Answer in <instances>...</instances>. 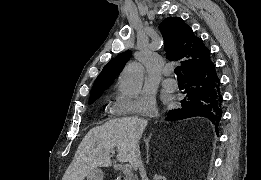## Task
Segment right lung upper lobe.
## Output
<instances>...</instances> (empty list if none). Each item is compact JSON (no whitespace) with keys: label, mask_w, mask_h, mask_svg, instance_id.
Instances as JSON below:
<instances>
[{"label":"right lung upper lobe","mask_w":261,"mask_h":180,"mask_svg":"<svg viewBox=\"0 0 261 180\" xmlns=\"http://www.w3.org/2000/svg\"><path fill=\"white\" fill-rule=\"evenodd\" d=\"M159 29L164 37L167 58L179 60L183 73L210 61V50L204 46L201 38H197L193 34L192 29L181 18L168 17L161 22ZM131 55V51H125L106 64L94 82L90 98L101 96L131 58Z\"/></svg>","instance_id":"cb5924a9"}]
</instances>
